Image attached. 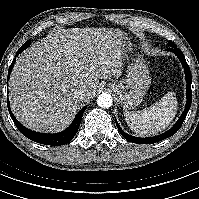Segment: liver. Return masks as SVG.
<instances>
[{"label":"liver","mask_w":199,"mask_h":199,"mask_svg":"<svg viewBox=\"0 0 199 199\" xmlns=\"http://www.w3.org/2000/svg\"><path fill=\"white\" fill-rule=\"evenodd\" d=\"M129 51L120 29L72 28L49 34L16 60L9 80L11 109L27 128L60 132L84 103L93 98L100 79L120 77ZM83 89L81 99L74 97Z\"/></svg>","instance_id":"6515ba94"}]
</instances>
